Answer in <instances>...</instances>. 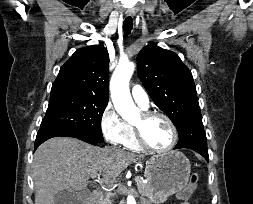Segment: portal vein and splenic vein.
Returning a JSON list of instances; mask_svg holds the SVG:
<instances>
[{"label": "portal vein and splenic vein", "mask_w": 253, "mask_h": 204, "mask_svg": "<svg viewBox=\"0 0 253 204\" xmlns=\"http://www.w3.org/2000/svg\"><path fill=\"white\" fill-rule=\"evenodd\" d=\"M96 176H98L97 173L93 174V175H92V178H95ZM140 180H141V178H140L139 176H136V177H135V182H139ZM99 183H100L101 185H108V186L111 185L110 182L104 181V180H100Z\"/></svg>", "instance_id": "18ae733b"}]
</instances>
